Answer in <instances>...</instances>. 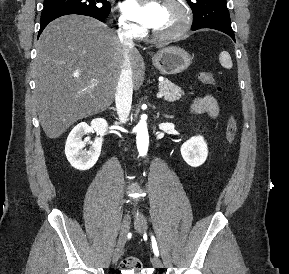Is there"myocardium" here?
I'll return each instance as SVG.
<instances>
[{
    "mask_svg": "<svg viewBox=\"0 0 289 274\" xmlns=\"http://www.w3.org/2000/svg\"><path fill=\"white\" fill-rule=\"evenodd\" d=\"M163 4H175L182 11V22L174 30L169 32H159L154 29L151 34L161 40H173L183 36L191 27L193 22V11L187 0H164Z\"/></svg>",
    "mask_w": 289,
    "mask_h": 274,
    "instance_id": "myocardium-1",
    "label": "myocardium"
}]
</instances>
